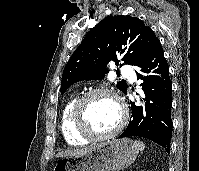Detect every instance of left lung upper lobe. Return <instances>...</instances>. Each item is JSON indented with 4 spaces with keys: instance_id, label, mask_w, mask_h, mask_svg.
I'll list each match as a JSON object with an SVG mask.
<instances>
[{
    "instance_id": "5c2ea615",
    "label": "left lung upper lobe",
    "mask_w": 199,
    "mask_h": 171,
    "mask_svg": "<svg viewBox=\"0 0 199 171\" xmlns=\"http://www.w3.org/2000/svg\"><path fill=\"white\" fill-rule=\"evenodd\" d=\"M158 40L152 29L137 17L103 19L86 35L65 66L61 94L78 81L103 79L106 65L111 60L118 65L120 55L125 64L138 66ZM116 87L127 91L124 80Z\"/></svg>"
}]
</instances>
